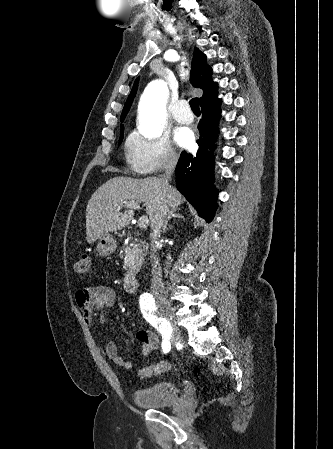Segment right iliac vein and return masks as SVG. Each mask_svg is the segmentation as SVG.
Listing matches in <instances>:
<instances>
[{
  "label": "right iliac vein",
  "mask_w": 333,
  "mask_h": 449,
  "mask_svg": "<svg viewBox=\"0 0 333 449\" xmlns=\"http://www.w3.org/2000/svg\"><path fill=\"white\" fill-rule=\"evenodd\" d=\"M160 312L167 318L168 322L170 323L171 327V341L172 343H176L177 341L181 340V333L179 328L172 323V315H173V309L171 305L167 302H161L159 304Z\"/></svg>",
  "instance_id": "right-iliac-vein-1"
}]
</instances>
